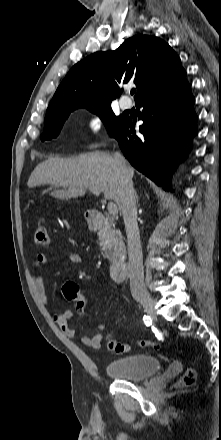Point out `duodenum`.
<instances>
[{"instance_id": "410a0bca", "label": "duodenum", "mask_w": 221, "mask_h": 440, "mask_svg": "<svg viewBox=\"0 0 221 440\" xmlns=\"http://www.w3.org/2000/svg\"><path fill=\"white\" fill-rule=\"evenodd\" d=\"M88 222L91 229L110 233L111 225L100 212L93 211L88 214ZM111 277L116 282H121L127 275V263L125 261H115L110 269Z\"/></svg>"}]
</instances>
